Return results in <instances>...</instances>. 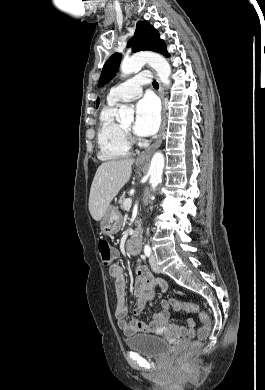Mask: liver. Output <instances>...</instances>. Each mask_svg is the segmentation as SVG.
I'll list each match as a JSON object with an SVG mask.
<instances>
[{
  "label": "liver",
  "instance_id": "liver-1",
  "mask_svg": "<svg viewBox=\"0 0 265 390\" xmlns=\"http://www.w3.org/2000/svg\"><path fill=\"white\" fill-rule=\"evenodd\" d=\"M134 159L103 162L97 169L89 195V211L95 221H100L111 201L130 180Z\"/></svg>",
  "mask_w": 265,
  "mask_h": 390
}]
</instances>
